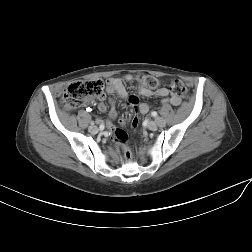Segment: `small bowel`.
I'll list each match as a JSON object with an SVG mask.
<instances>
[{
    "label": "small bowel",
    "instance_id": "small-bowel-1",
    "mask_svg": "<svg viewBox=\"0 0 252 252\" xmlns=\"http://www.w3.org/2000/svg\"><path fill=\"white\" fill-rule=\"evenodd\" d=\"M135 80V77L131 74L125 75L123 78H108L107 83V91L110 94H116L121 99H127L129 104L135 106L138 111L142 114H146L149 111V105L144 102H139L138 98L134 95L128 96L125 88V82L132 83ZM139 93L144 97L156 96L159 98H164L163 102L165 104L170 103L172 105H179L181 103V98L171 95L169 98V91L166 88H158L155 91L150 90L149 88L140 86ZM113 104V100L110 101ZM98 110L102 113H106L108 111V107L105 103L100 102L98 104ZM109 121L106 122L107 129L113 134L114 128L111 123L112 120L117 118V112L114 109L108 111ZM98 121V120H97ZM125 121L124 117L119 119V123L123 124ZM101 125H103V121L101 120ZM114 136V135H113ZM115 139V138H114Z\"/></svg>",
    "mask_w": 252,
    "mask_h": 252
}]
</instances>
